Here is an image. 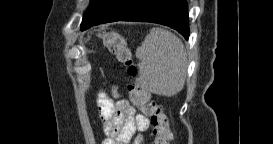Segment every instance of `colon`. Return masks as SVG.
Listing matches in <instances>:
<instances>
[{
    "instance_id": "1",
    "label": "colon",
    "mask_w": 273,
    "mask_h": 144,
    "mask_svg": "<svg viewBox=\"0 0 273 144\" xmlns=\"http://www.w3.org/2000/svg\"><path fill=\"white\" fill-rule=\"evenodd\" d=\"M104 40L109 51L121 63L127 65L129 75L135 77L138 69L133 64L132 53L124 36L117 30H111L105 34ZM128 90L132 103L150 119L152 144H169L171 141L169 121L161 105L140 85L132 83L128 86Z\"/></svg>"
}]
</instances>
